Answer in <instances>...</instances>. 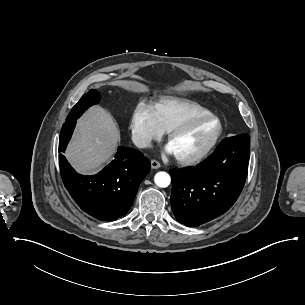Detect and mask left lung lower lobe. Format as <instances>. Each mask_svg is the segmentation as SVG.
<instances>
[{
    "label": "left lung lower lobe",
    "mask_w": 305,
    "mask_h": 305,
    "mask_svg": "<svg viewBox=\"0 0 305 305\" xmlns=\"http://www.w3.org/2000/svg\"><path fill=\"white\" fill-rule=\"evenodd\" d=\"M249 157V135L241 134L223 140L203 163L170 170L176 219L196 227L228 211L245 184Z\"/></svg>",
    "instance_id": "left-lung-lower-lobe-1"
}]
</instances>
